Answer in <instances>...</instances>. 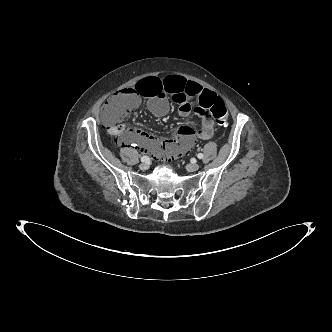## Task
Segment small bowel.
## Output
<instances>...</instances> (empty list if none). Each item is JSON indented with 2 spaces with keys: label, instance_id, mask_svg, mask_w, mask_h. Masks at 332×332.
<instances>
[{
  "label": "small bowel",
  "instance_id": "1",
  "mask_svg": "<svg viewBox=\"0 0 332 332\" xmlns=\"http://www.w3.org/2000/svg\"><path fill=\"white\" fill-rule=\"evenodd\" d=\"M132 86L139 98L147 101L149 111L156 117H163L169 112L170 102L177 104L179 114L186 117L193 109L189 103L191 98L198 99L199 104L206 107L208 117L201 122L199 129L186 132L179 129L177 137L172 140H161L140 129L125 130L122 128L120 137L124 147L138 146L150 151L157 159H162L172 151L180 149L187 151L195 139L208 140L212 138L214 121L211 117L210 105L216 97L212 91L179 75L142 77L136 79Z\"/></svg>",
  "mask_w": 332,
  "mask_h": 332
}]
</instances>
